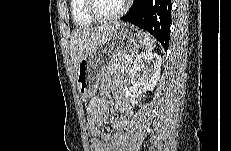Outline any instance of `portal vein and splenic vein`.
<instances>
[{
    "label": "portal vein and splenic vein",
    "mask_w": 231,
    "mask_h": 151,
    "mask_svg": "<svg viewBox=\"0 0 231 151\" xmlns=\"http://www.w3.org/2000/svg\"><path fill=\"white\" fill-rule=\"evenodd\" d=\"M125 58L128 59V60L132 59V57L130 55H126Z\"/></svg>",
    "instance_id": "portal-vein-and-splenic-vein-1"
}]
</instances>
